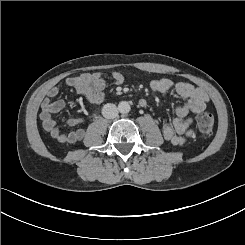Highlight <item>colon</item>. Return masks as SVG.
I'll return each instance as SVG.
<instances>
[{
    "label": "colon",
    "instance_id": "1",
    "mask_svg": "<svg viewBox=\"0 0 245 245\" xmlns=\"http://www.w3.org/2000/svg\"><path fill=\"white\" fill-rule=\"evenodd\" d=\"M197 126L201 133L209 134L213 130L214 116L210 112H204L197 117Z\"/></svg>",
    "mask_w": 245,
    "mask_h": 245
}]
</instances>
